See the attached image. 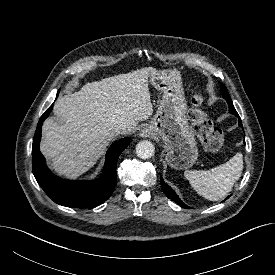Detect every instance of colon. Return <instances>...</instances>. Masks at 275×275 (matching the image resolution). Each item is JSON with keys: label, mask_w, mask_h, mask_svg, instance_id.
<instances>
[{"label": "colon", "mask_w": 275, "mask_h": 275, "mask_svg": "<svg viewBox=\"0 0 275 275\" xmlns=\"http://www.w3.org/2000/svg\"><path fill=\"white\" fill-rule=\"evenodd\" d=\"M203 103L204 98L200 95L194 96L191 101L188 111L191 128L208 151L217 152L224 148V136L209 120L207 113L203 110Z\"/></svg>", "instance_id": "colon-1"}]
</instances>
